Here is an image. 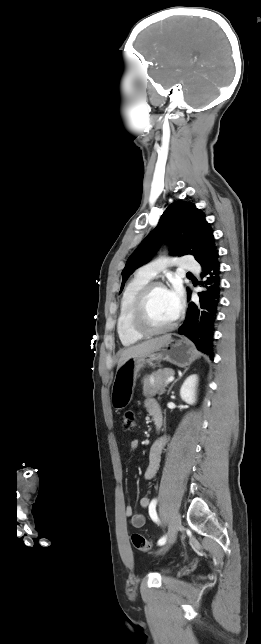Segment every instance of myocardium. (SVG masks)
<instances>
[{
    "label": "myocardium",
    "instance_id": "1",
    "mask_svg": "<svg viewBox=\"0 0 261 644\" xmlns=\"http://www.w3.org/2000/svg\"><path fill=\"white\" fill-rule=\"evenodd\" d=\"M157 288L167 290L166 286L159 281H149L146 285L137 294L131 313V327L132 329L141 336H154L163 334L173 330L180 319L181 313L179 312L174 320L160 328L151 327L146 320V305L150 294Z\"/></svg>",
    "mask_w": 261,
    "mask_h": 644
}]
</instances>
